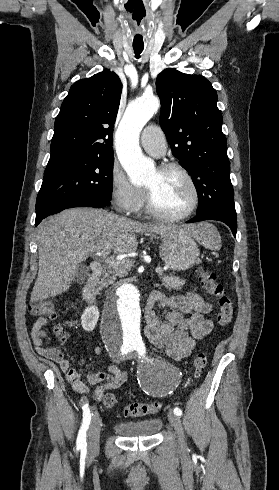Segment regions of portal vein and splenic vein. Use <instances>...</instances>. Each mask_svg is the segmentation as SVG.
<instances>
[{
  "instance_id": "obj_1",
  "label": "portal vein and splenic vein",
  "mask_w": 279,
  "mask_h": 490,
  "mask_svg": "<svg viewBox=\"0 0 279 490\" xmlns=\"http://www.w3.org/2000/svg\"><path fill=\"white\" fill-rule=\"evenodd\" d=\"M96 256H102V258H104V262L105 264H107L108 268H115V266H119V264H121V262H118V260H124L125 256H121V258H105V256H103V252H98V254H96ZM127 260H124V264H126ZM156 272H158V274H163L164 270H162V268H156Z\"/></svg>"
}]
</instances>
